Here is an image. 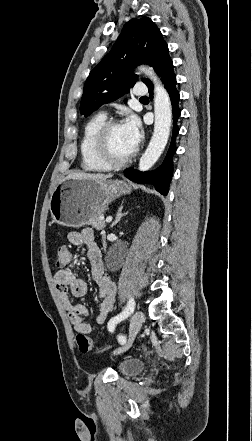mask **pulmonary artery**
<instances>
[{
  "label": "pulmonary artery",
  "instance_id": "pulmonary-artery-1",
  "mask_svg": "<svg viewBox=\"0 0 252 441\" xmlns=\"http://www.w3.org/2000/svg\"><path fill=\"white\" fill-rule=\"evenodd\" d=\"M148 88L144 84H137L134 90V95L138 97L146 96Z\"/></svg>",
  "mask_w": 252,
  "mask_h": 441
}]
</instances>
